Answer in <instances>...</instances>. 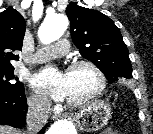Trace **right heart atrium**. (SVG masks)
<instances>
[{"label":"right heart atrium","mask_w":153,"mask_h":134,"mask_svg":"<svg viewBox=\"0 0 153 134\" xmlns=\"http://www.w3.org/2000/svg\"><path fill=\"white\" fill-rule=\"evenodd\" d=\"M29 105L33 111L44 113L48 110L49 102L43 94L34 92L29 97Z\"/></svg>","instance_id":"1"}]
</instances>
